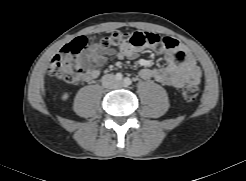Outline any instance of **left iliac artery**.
Returning <instances> with one entry per match:
<instances>
[{
    "mask_svg": "<svg viewBox=\"0 0 246 181\" xmlns=\"http://www.w3.org/2000/svg\"><path fill=\"white\" fill-rule=\"evenodd\" d=\"M124 84H125L126 86L131 85V84H132V80H131L130 78H125V79H124Z\"/></svg>",
    "mask_w": 246,
    "mask_h": 181,
    "instance_id": "obj_1",
    "label": "left iliac artery"
}]
</instances>
